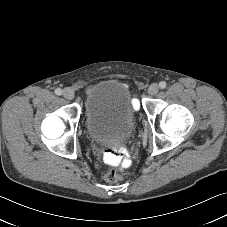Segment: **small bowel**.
Returning a JSON list of instances; mask_svg holds the SVG:
<instances>
[{
	"instance_id": "c3829d8e",
	"label": "small bowel",
	"mask_w": 227,
	"mask_h": 227,
	"mask_svg": "<svg viewBox=\"0 0 227 227\" xmlns=\"http://www.w3.org/2000/svg\"><path fill=\"white\" fill-rule=\"evenodd\" d=\"M119 163H120V162H119ZM119 163H117V164H119ZM122 163H123L124 166H127V165L129 164V161L125 159V160H123ZM117 164H116V165H117Z\"/></svg>"
}]
</instances>
